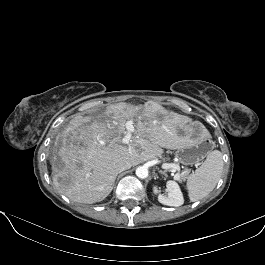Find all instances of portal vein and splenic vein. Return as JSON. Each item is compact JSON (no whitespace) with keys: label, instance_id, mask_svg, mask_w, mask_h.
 <instances>
[{"label":"portal vein and splenic vein","instance_id":"portal-vein-and-splenic-vein-1","mask_svg":"<svg viewBox=\"0 0 265 265\" xmlns=\"http://www.w3.org/2000/svg\"><path fill=\"white\" fill-rule=\"evenodd\" d=\"M134 126H133V123L132 122H127L126 123V134L124 135L123 139H122V142L124 144H129V142L131 141L132 139V133L134 132ZM162 168L163 169H173V170H179V166L174 164V163H164L162 165ZM180 177V174H176L175 175V178H179Z\"/></svg>","mask_w":265,"mask_h":265}]
</instances>
